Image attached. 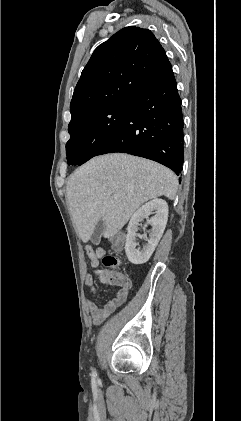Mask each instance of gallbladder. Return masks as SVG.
Here are the masks:
<instances>
[{
  "label": "gallbladder",
  "instance_id": "1",
  "mask_svg": "<svg viewBox=\"0 0 241 421\" xmlns=\"http://www.w3.org/2000/svg\"><path fill=\"white\" fill-rule=\"evenodd\" d=\"M105 230V222L103 219H100L96 224L93 234L91 236V242L95 245H98L101 240V235Z\"/></svg>",
  "mask_w": 241,
  "mask_h": 421
}]
</instances>
